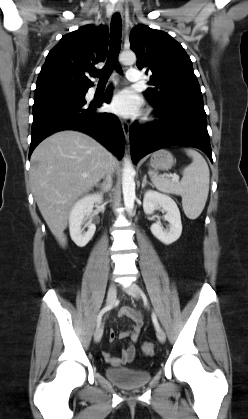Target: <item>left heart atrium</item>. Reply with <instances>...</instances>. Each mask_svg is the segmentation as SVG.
I'll use <instances>...</instances> for the list:
<instances>
[{"mask_svg":"<svg viewBox=\"0 0 248 419\" xmlns=\"http://www.w3.org/2000/svg\"><path fill=\"white\" fill-rule=\"evenodd\" d=\"M142 99L131 89L118 92L110 103V109L123 117H132L140 113Z\"/></svg>","mask_w":248,"mask_h":419,"instance_id":"obj_1","label":"left heart atrium"}]
</instances>
